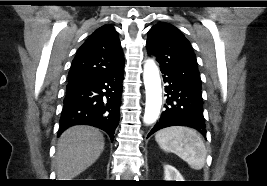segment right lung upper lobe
Here are the masks:
<instances>
[{
    "instance_id": "cb5924a9",
    "label": "right lung upper lobe",
    "mask_w": 267,
    "mask_h": 186,
    "mask_svg": "<svg viewBox=\"0 0 267 186\" xmlns=\"http://www.w3.org/2000/svg\"><path fill=\"white\" fill-rule=\"evenodd\" d=\"M124 64L118 32L104 25L93 32L78 49L72 61L68 80L107 71Z\"/></svg>"
}]
</instances>
